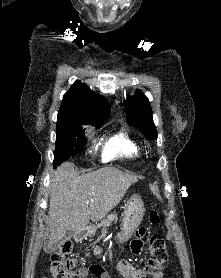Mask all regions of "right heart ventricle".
I'll return each instance as SVG.
<instances>
[{"label": "right heart ventricle", "mask_w": 221, "mask_h": 278, "mask_svg": "<svg viewBox=\"0 0 221 278\" xmlns=\"http://www.w3.org/2000/svg\"><path fill=\"white\" fill-rule=\"evenodd\" d=\"M140 153V144L127 132L120 131L105 142L102 158L104 161L120 158L136 159Z\"/></svg>", "instance_id": "1"}]
</instances>
